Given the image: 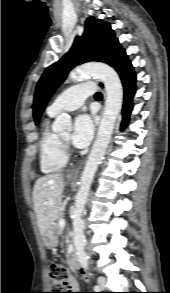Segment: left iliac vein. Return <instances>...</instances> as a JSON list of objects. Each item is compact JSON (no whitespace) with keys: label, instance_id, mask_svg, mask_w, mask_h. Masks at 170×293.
<instances>
[{"label":"left iliac vein","instance_id":"1","mask_svg":"<svg viewBox=\"0 0 170 293\" xmlns=\"http://www.w3.org/2000/svg\"><path fill=\"white\" fill-rule=\"evenodd\" d=\"M98 284L100 288L103 290L106 287V278L104 276H99L98 277Z\"/></svg>","mask_w":170,"mask_h":293}]
</instances>
